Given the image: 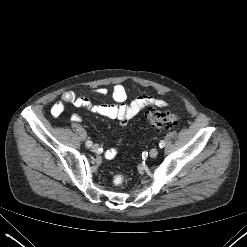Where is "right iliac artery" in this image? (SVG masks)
<instances>
[{"label": "right iliac artery", "mask_w": 247, "mask_h": 247, "mask_svg": "<svg viewBox=\"0 0 247 247\" xmlns=\"http://www.w3.org/2000/svg\"><path fill=\"white\" fill-rule=\"evenodd\" d=\"M85 144H86L87 147H91L93 143L91 141H86Z\"/></svg>", "instance_id": "82829eb1"}]
</instances>
